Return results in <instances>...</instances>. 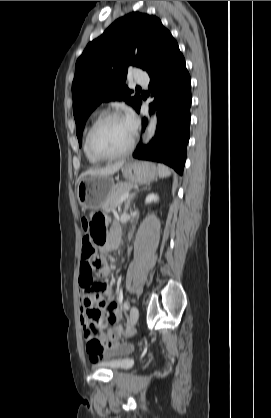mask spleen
Returning a JSON list of instances; mask_svg holds the SVG:
<instances>
[{
    "instance_id": "1",
    "label": "spleen",
    "mask_w": 271,
    "mask_h": 418,
    "mask_svg": "<svg viewBox=\"0 0 271 418\" xmlns=\"http://www.w3.org/2000/svg\"><path fill=\"white\" fill-rule=\"evenodd\" d=\"M157 169H158L159 177L161 178H166L171 175V170L163 164H158Z\"/></svg>"
}]
</instances>
